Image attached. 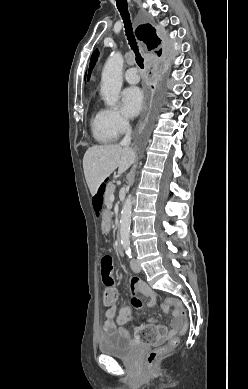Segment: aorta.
I'll return each instance as SVG.
<instances>
[{
    "instance_id": "1",
    "label": "aorta",
    "mask_w": 248,
    "mask_h": 389,
    "mask_svg": "<svg viewBox=\"0 0 248 389\" xmlns=\"http://www.w3.org/2000/svg\"><path fill=\"white\" fill-rule=\"evenodd\" d=\"M123 56L119 52H114L108 58L102 71L101 95L108 107H115L119 100L122 87ZM132 196L129 195L121 212L120 237L124 248L130 245V225H131Z\"/></svg>"
}]
</instances>
